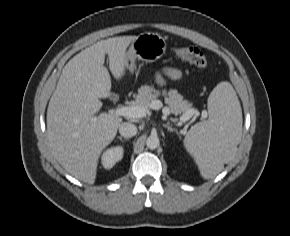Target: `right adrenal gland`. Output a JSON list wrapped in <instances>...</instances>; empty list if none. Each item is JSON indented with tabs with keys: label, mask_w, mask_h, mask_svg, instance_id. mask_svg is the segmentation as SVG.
<instances>
[{
	"label": "right adrenal gland",
	"mask_w": 290,
	"mask_h": 236,
	"mask_svg": "<svg viewBox=\"0 0 290 236\" xmlns=\"http://www.w3.org/2000/svg\"><path fill=\"white\" fill-rule=\"evenodd\" d=\"M117 139H119L120 141H129L128 138H123V137H121V136H118Z\"/></svg>",
	"instance_id": "right-adrenal-gland-1"
}]
</instances>
